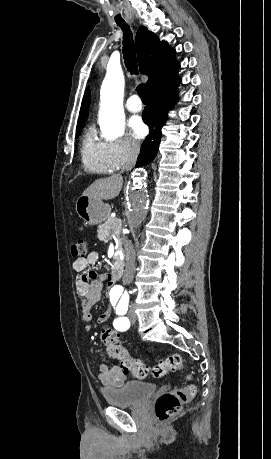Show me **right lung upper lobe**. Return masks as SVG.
<instances>
[{
    "label": "right lung upper lobe",
    "instance_id": "right-lung-upper-lobe-1",
    "mask_svg": "<svg viewBox=\"0 0 271 459\" xmlns=\"http://www.w3.org/2000/svg\"><path fill=\"white\" fill-rule=\"evenodd\" d=\"M136 49L140 71L148 76L147 90L166 77L178 72L179 62L175 59V49L159 38L145 26L139 27L136 34ZM90 104V90L86 89L78 121L86 120Z\"/></svg>",
    "mask_w": 271,
    "mask_h": 459
}]
</instances>
